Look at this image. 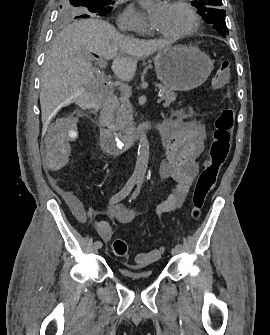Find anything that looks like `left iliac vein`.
<instances>
[{
  "label": "left iliac vein",
  "mask_w": 270,
  "mask_h": 335,
  "mask_svg": "<svg viewBox=\"0 0 270 335\" xmlns=\"http://www.w3.org/2000/svg\"><path fill=\"white\" fill-rule=\"evenodd\" d=\"M179 252H180V250L175 248V247L171 249L172 255H177V254H179Z\"/></svg>",
  "instance_id": "left-iliac-vein-1"
}]
</instances>
